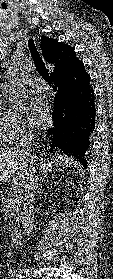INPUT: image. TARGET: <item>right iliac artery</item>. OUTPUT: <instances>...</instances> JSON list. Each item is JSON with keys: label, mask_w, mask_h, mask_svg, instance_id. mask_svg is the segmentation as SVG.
<instances>
[{"label": "right iliac artery", "mask_w": 113, "mask_h": 279, "mask_svg": "<svg viewBox=\"0 0 113 279\" xmlns=\"http://www.w3.org/2000/svg\"><path fill=\"white\" fill-rule=\"evenodd\" d=\"M11 276L13 277L12 279H22L24 278L23 270L21 269L13 270L11 271Z\"/></svg>", "instance_id": "1"}]
</instances>
